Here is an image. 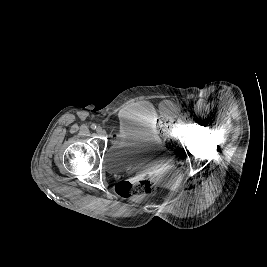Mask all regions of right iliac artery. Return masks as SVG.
<instances>
[{"label":"right iliac artery","mask_w":267,"mask_h":267,"mask_svg":"<svg viewBox=\"0 0 267 267\" xmlns=\"http://www.w3.org/2000/svg\"><path fill=\"white\" fill-rule=\"evenodd\" d=\"M91 128H92L93 130H95V129H96V125H95V124H92V125H91Z\"/></svg>","instance_id":"82829eb1"}]
</instances>
